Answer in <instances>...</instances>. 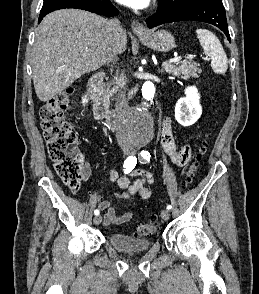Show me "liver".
I'll use <instances>...</instances> for the list:
<instances>
[{
  "label": "liver",
  "mask_w": 259,
  "mask_h": 294,
  "mask_svg": "<svg viewBox=\"0 0 259 294\" xmlns=\"http://www.w3.org/2000/svg\"><path fill=\"white\" fill-rule=\"evenodd\" d=\"M111 38L109 20L78 9L48 14L35 31L32 71L35 92L46 102L82 75L106 63ZM127 35H120V53L126 50Z\"/></svg>",
  "instance_id": "1"
}]
</instances>
